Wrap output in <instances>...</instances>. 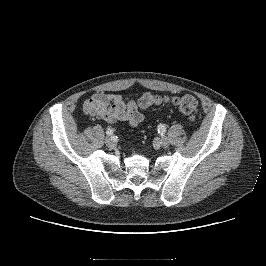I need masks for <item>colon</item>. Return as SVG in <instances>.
<instances>
[{"instance_id":"5ec220e1","label":"colon","mask_w":266,"mask_h":266,"mask_svg":"<svg viewBox=\"0 0 266 266\" xmlns=\"http://www.w3.org/2000/svg\"><path fill=\"white\" fill-rule=\"evenodd\" d=\"M168 99L163 98L162 96L154 93H145L143 94L139 101L138 105L141 108H148L156 105H160ZM178 109L188 116L191 122H195L199 118L198 113V103L197 100L191 95L176 96L170 100Z\"/></svg>"}]
</instances>
